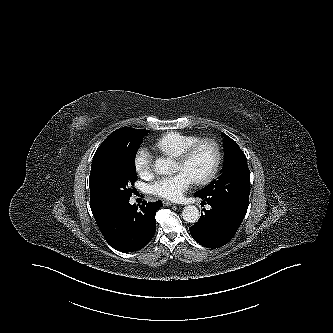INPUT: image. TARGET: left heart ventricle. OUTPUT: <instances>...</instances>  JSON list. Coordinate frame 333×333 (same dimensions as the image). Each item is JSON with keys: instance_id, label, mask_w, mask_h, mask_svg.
<instances>
[{"instance_id": "obj_1", "label": "left heart ventricle", "mask_w": 333, "mask_h": 333, "mask_svg": "<svg viewBox=\"0 0 333 333\" xmlns=\"http://www.w3.org/2000/svg\"><path fill=\"white\" fill-rule=\"evenodd\" d=\"M215 159L213 148L204 144L198 148L187 163H176V171L187 172L194 180L205 177L211 170Z\"/></svg>"}]
</instances>
